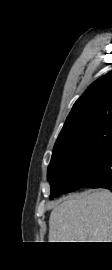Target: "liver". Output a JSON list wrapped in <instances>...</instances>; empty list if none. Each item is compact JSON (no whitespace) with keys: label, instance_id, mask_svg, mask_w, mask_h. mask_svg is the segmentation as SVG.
<instances>
[{"label":"liver","instance_id":"liver-1","mask_svg":"<svg viewBox=\"0 0 112 270\" xmlns=\"http://www.w3.org/2000/svg\"><path fill=\"white\" fill-rule=\"evenodd\" d=\"M49 242H112V193L105 189L68 197L49 218Z\"/></svg>","mask_w":112,"mask_h":270}]
</instances>
